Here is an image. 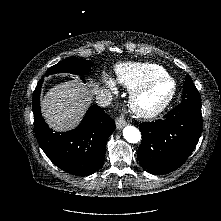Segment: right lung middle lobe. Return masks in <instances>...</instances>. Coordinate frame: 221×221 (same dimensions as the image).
Masks as SVG:
<instances>
[{
  "label": "right lung middle lobe",
  "instance_id": "right-lung-middle-lobe-1",
  "mask_svg": "<svg viewBox=\"0 0 221 221\" xmlns=\"http://www.w3.org/2000/svg\"><path fill=\"white\" fill-rule=\"evenodd\" d=\"M93 63L86 60L68 59L50 67L46 75L67 72L76 75L86 74L91 70Z\"/></svg>",
  "mask_w": 221,
  "mask_h": 221
}]
</instances>
